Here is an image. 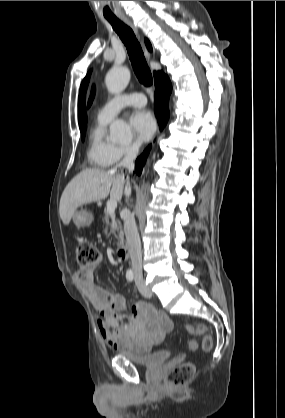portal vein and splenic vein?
Masks as SVG:
<instances>
[{
	"label": "portal vein and splenic vein",
	"instance_id": "obj_1",
	"mask_svg": "<svg viewBox=\"0 0 285 418\" xmlns=\"http://www.w3.org/2000/svg\"><path fill=\"white\" fill-rule=\"evenodd\" d=\"M116 207H117V201H116V200H114V199H110V200L107 202V212H108L110 215H111V214H114Z\"/></svg>",
	"mask_w": 285,
	"mask_h": 418
}]
</instances>
